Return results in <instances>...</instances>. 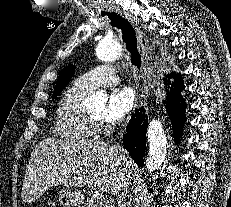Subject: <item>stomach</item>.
<instances>
[{
    "instance_id": "1",
    "label": "stomach",
    "mask_w": 231,
    "mask_h": 207,
    "mask_svg": "<svg viewBox=\"0 0 231 207\" xmlns=\"http://www.w3.org/2000/svg\"><path fill=\"white\" fill-rule=\"evenodd\" d=\"M58 201L62 207H79L82 202V197L78 191L62 190L59 193Z\"/></svg>"
}]
</instances>
